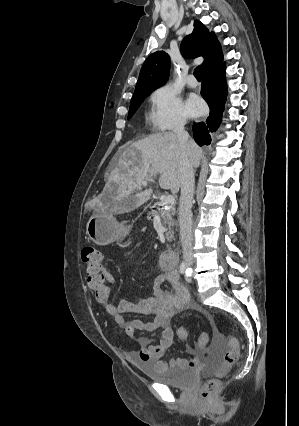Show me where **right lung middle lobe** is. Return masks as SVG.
I'll list each match as a JSON object with an SVG mask.
<instances>
[{
	"label": "right lung middle lobe",
	"instance_id": "1",
	"mask_svg": "<svg viewBox=\"0 0 299 426\" xmlns=\"http://www.w3.org/2000/svg\"><path fill=\"white\" fill-rule=\"evenodd\" d=\"M151 92H139L133 94L131 103H130V109L128 113V119H130L135 111L138 109L140 104L143 102L144 98L147 97Z\"/></svg>",
	"mask_w": 299,
	"mask_h": 426
}]
</instances>
